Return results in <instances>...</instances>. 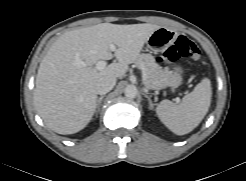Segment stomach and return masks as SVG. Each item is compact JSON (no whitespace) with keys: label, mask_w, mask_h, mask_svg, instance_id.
Segmentation results:
<instances>
[{"label":"stomach","mask_w":246,"mask_h":181,"mask_svg":"<svg viewBox=\"0 0 246 181\" xmlns=\"http://www.w3.org/2000/svg\"><path fill=\"white\" fill-rule=\"evenodd\" d=\"M178 34L172 29L166 27H160L154 31L147 40V46L154 52L162 51L167 46L171 45L177 39ZM183 70L180 67H175L171 71V77L164 84L162 88L169 87L171 90H175L182 84Z\"/></svg>","instance_id":"1"}]
</instances>
